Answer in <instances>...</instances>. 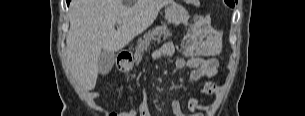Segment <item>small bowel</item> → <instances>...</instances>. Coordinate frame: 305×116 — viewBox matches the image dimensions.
Wrapping results in <instances>:
<instances>
[{"mask_svg":"<svg viewBox=\"0 0 305 116\" xmlns=\"http://www.w3.org/2000/svg\"><path fill=\"white\" fill-rule=\"evenodd\" d=\"M175 48L173 43L166 42L161 48L155 53L154 57H169L174 54ZM220 51V43L214 37H209L199 45V52L197 55H192L188 59H177L175 61V68L182 69L188 67L191 69V81L197 82L203 78L211 79L217 74L218 62L214 58L216 54ZM217 91V85L208 80L205 82L203 87V92L207 95H214ZM187 108L190 114H186L180 102L178 100H173L171 102V110L175 116H203L202 111L209 108L206 104H201L196 98H189L187 101ZM139 116H150V111L148 107L147 98L145 96L144 100L138 108Z\"/></svg>","mask_w":305,"mask_h":116,"instance_id":"small-bowel-1","label":"small bowel"}]
</instances>
